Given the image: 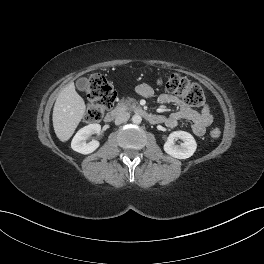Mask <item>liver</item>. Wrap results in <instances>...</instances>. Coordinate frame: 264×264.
I'll use <instances>...</instances> for the list:
<instances>
[{"mask_svg":"<svg viewBox=\"0 0 264 264\" xmlns=\"http://www.w3.org/2000/svg\"><path fill=\"white\" fill-rule=\"evenodd\" d=\"M85 110L83 98L76 92L74 83L70 82L59 93L53 108V127L60 141L66 142L70 139Z\"/></svg>","mask_w":264,"mask_h":264,"instance_id":"obj_1","label":"liver"}]
</instances>
